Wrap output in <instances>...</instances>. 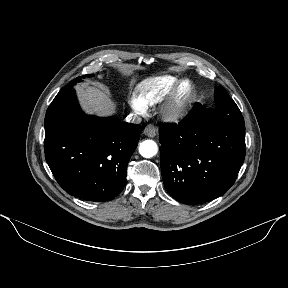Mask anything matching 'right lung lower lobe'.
<instances>
[{
	"instance_id": "right-lung-lower-lobe-1",
	"label": "right lung lower lobe",
	"mask_w": 288,
	"mask_h": 288,
	"mask_svg": "<svg viewBox=\"0 0 288 288\" xmlns=\"http://www.w3.org/2000/svg\"><path fill=\"white\" fill-rule=\"evenodd\" d=\"M143 127L85 115L73 87L56 96L45 117V158L59 185L87 201L114 199Z\"/></svg>"
}]
</instances>
